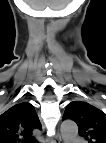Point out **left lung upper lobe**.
<instances>
[{"mask_svg":"<svg viewBox=\"0 0 106 143\" xmlns=\"http://www.w3.org/2000/svg\"><path fill=\"white\" fill-rule=\"evenodd\" d=\"M78 125L79 135L89 143H106V114L87 102L73 101L64 112Z\"/></svg>","mask_w":106,"mask_h":143,"instance_id":"5c2ea615","label":"left lung upper lobe"}]
</instances>
